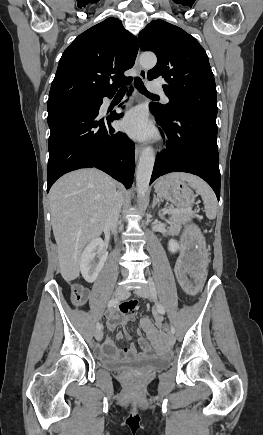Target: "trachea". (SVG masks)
Masks as SVG:
<instances>
[{
  "label": "trachea",
  "mask_w": 263,
  "mask_h": 435,
  "mask_svg": "<svg viewBox=\"0 0 263 435\" xmlns=\"http://www.w3.org/2000/svg\"><path fill=\"white\" fill-rule=\"evenodd\" d=\"M134 85L140 93H142L146 96H149V97H156V98L158 97L157 95L151 94L150 92L147 91L146 87L144 86L143 81L139 77H135ZM126 91H127V88L123 87L118 91V94H125Z\"/></svg>",
  "instance_id": "1"
}]
</instances>
